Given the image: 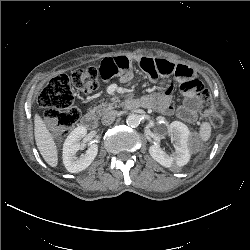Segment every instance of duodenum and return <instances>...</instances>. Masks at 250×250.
Segmentation results:
<instances>
[{
	"mask_svg": "<svg viewBox=\"0 0 250 250\" xmlns=\"http://www.w3.org/2000/svg\"><path fill=\"white\" fill-rule=\"evenodd\" d=\"M140 107V104L137 99L128 100L125 103V108L128 109H137ZM82 123L85 127L89 129H95L97 125V120L95 115L92 112H88L83 116Z\"/></svg>",
	"mask_w": 250,
	"mask_h": 250,
	"instance_id": "duodenum-1",
	"label": "duodenum"
}]
</instances>
